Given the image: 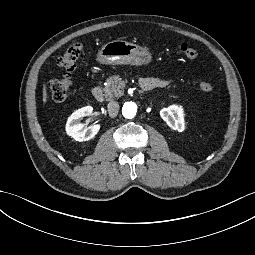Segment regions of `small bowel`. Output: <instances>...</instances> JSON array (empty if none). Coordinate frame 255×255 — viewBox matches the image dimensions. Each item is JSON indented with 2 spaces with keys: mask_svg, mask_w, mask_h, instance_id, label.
<instances>
[{
  "mask_svg": "<svg viewBox=\"0 0 255 255\" xmlns=\"http://www.w3.org/2000/svg\"><path fill=\"white\" fill-rule=\"evenodd\" d=\"M152 83H154L157 86H164L167 84V81L165 80H159V79H152L151 81Z\"/></svg>",
  "mask_w": 255,
  "mask_h": 255,
  "instance_id": "obj_1",
  "label": "small bowel"
}]
</instances>
